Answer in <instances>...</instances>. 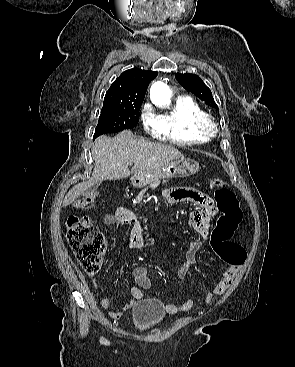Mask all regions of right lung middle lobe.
<instances>
[{"label":"right lung middle lobe","instance_id":"1","mask_svg":"<svg viewBox=\"0 0 295 367\" xmlns=\"http://www.w3.org/2000/svg\"><path fill=\"white\" fill-rule=\"evenodd\" d=\"M143 101H104L95 129L94 139L101 134L133 129L138 124L139 110Z\"/></svg>","mask_w":295,"mask_h":367}]
</instances>
